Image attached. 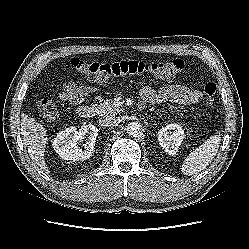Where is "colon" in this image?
I'll return each mask as SVG.
<instances>
[{
	"label": "colon",
	"instance_id": "5ec220e1",
	"mask_svg": "<svg viewBox=\"0 0 249 249\" xmlns=\"http://www.w3.org/2000/svg\"><path fill=\"white\" fill-rule=\"evenodd\" d=\"M70 65L81 73L87 80L93 82H104L110 77H125L128 75L150 74L157 79L169 80L179 74L185 67L182 59L157 62L120 61L114 63H100L91 59H80L73 57ZM216 84L209 82L204 85V94L209 105L213 104L216 93ZM41 116L48 122L58 119L62 104L59 101L43 99L38 102Z\"/></svg>",
	"mask_w": 249,
	"mask_h": 249
}]
</instances>
